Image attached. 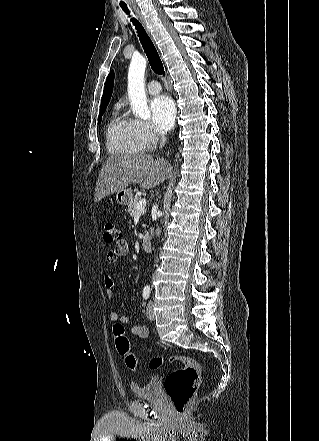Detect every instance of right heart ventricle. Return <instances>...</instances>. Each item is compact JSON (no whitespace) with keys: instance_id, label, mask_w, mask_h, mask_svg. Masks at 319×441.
<instances>
[{"instance_id":"e07e8e85","label":"right heart ventricle","mask_w":319,"mask_h":441,"mask_svg":"<svg viewBox=\"0 0 319 441\" xmlns=\"http://www.w3.org/2000/svg\"><path fill=\"white\" fill-rule=\"evenodd\" d=\"M106 143L111 154L135 155L141 152L134 138L132 120L117 109L112 112L107 124Z\"/></svg>"}]
</instances>
